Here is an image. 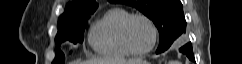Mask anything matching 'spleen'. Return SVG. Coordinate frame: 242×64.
I'll return each instance as SVG.
<instances>
[{"mask_svg": "<svg viewBox=\"0 0 242 64\" xmlns=\"http://www.w3.org/2000/svg\"><path fill=\"white\" fill-rule=\"evenodd\" d=\"M170 64H179V63L176 61H171Z\"/></svg>", "mask_w": 242, "mask_h": 64, "instance_id": "3e777b00", "label": "spleen"}]
</instances>
